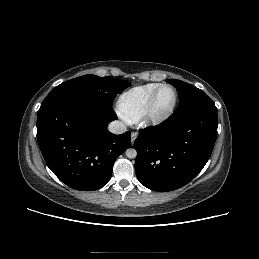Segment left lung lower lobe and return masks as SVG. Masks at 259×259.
<instances>
[{
    "label": "left lung lower lobe",
    "instance_id": "0a47b994",
    "mask_svg": "<svg viewBox=\"0 0 259 259\" xmlns=\"http://www.w3.org/2000/svg\"><path fill=\"white\" fill-rule=\"evenodd\" d=\"M217 127V108L197 106L175 111L162 124L141 130L134 142L140 183L162 192L189 183L209 160Z\"/></svg>",
    "mask_w": 259,
    "mask_h": 259
}]
</instances>
